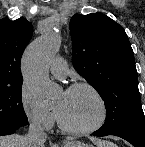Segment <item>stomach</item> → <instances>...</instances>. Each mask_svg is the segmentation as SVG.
I'll use <instances>...</instances> for the list:
<instances>
[{"label": "stomach", "mask_w": 145, "mask_h": 147, "mask_svg": "<svg viewBox=\"0 0 145 147\" xmlns=\"http://www.w3.org/2000/svg\"><path fill=\"white\" fill-rule=\"evenodd\" d=\"M64 147H93V146L88 145V144H84L79 141H70V142L66 143Z\"/></svg>", "instance_id": "0dacf381"}]
</instances>
